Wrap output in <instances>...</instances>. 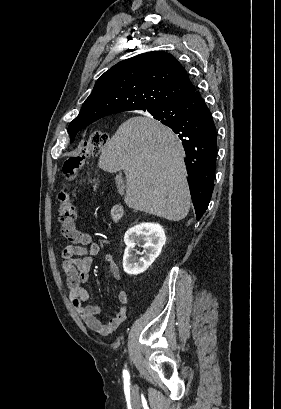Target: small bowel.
<instances>
[{
	"label": "small bowel",
	"mask_w": 281,
	"mask_h": 409,
	"mask_svg": "<svg viewBox=\"0 0 281 409\" xmlns=\"http://www.w3.org/2000/svg\"><path fill=\"white\" fill-rule=\"evenodd\" d=\"M62 234L70 242L63 248L61 259L62 270L66 277V286L72 305L90 329L99 335L107 336L113 333L126 319L129 294L126 290L118 292L119 306L117 311L108 324H103L97 317L101 312L100 306L87 304L90 293L82 286L89 280L93 257L99 253L100 246L90 234L79 231L74 223L63 225ZM105 262L109 267L110 273L119 280L121 275L114 257L111 254H107Z\"/></svg>",
	"instance_id": "small-bowel-1"
}]
</instances>
